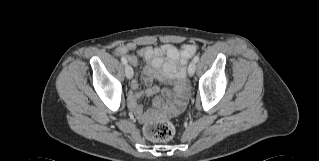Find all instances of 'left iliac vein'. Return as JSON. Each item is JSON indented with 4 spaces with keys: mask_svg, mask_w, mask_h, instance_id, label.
Returning a JSON list of instances; mask_svg holds the SVG:
<instances>
[{
    "mask_svg": "<svg viewBox=\"0 0 319 161\" xmlns=\"http://www.w3.org/2000/svg\"><path fill=\"white\" fill-rule=\"evenodd\" d=\"M195 70H196V63L193 61V62H191V63L189 64V66H188V74H189L190 76H193L194 73H195Z\"/></svg>",
    "mask_w": 319,
    "mask_h": 161,
    "instance_id": "obj_1",
    "label": "left iliac vein"
}]
</instances>
